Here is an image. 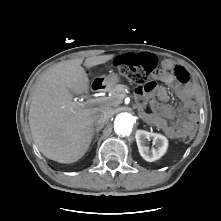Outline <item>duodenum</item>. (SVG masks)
<instances>
[{"label":"duodenum","mask_w":221,"mask_h":221,"mask_svg":"<svg viewBox=\"0 0 221 221\" xmlns=\"http://www.w3.org/2000/svg\"><path fill=\"white\" fill-rule=\"evenodd\" d=\"M92 88L96 92H105L108 90V84L102 80H97L92 84Z\"/></svg>","instance_id":"410a0bca"}]
</instances>
